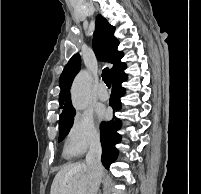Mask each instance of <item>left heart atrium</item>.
<instances>
[{
  "mask_svg": "<svg viewBox=\"0 0 201 194\" xmlns=\"http://www.w3.org/2000/svg\"><path fill=\"white\" fill-rule=\"evenodd\" d=\"M99 115L100 117H105L107 115V112L105 110H100Z\"/></svg>",
  "mask_w": 201,
  "mask_h": 194,
  "instance_id": "39dd6f15",
  "label": "left heart atrium"
}]
</instances>
